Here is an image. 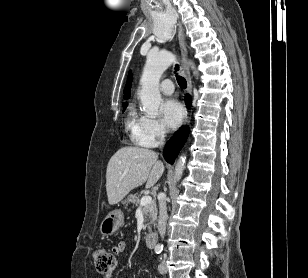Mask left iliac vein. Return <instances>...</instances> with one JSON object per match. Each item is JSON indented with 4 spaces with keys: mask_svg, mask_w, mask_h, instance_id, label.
I'll use <instances>...</instances> for the list:
<instances>
[{
    "mask_svg": "<svg viewBox=\"0 0 308 278\" xmlns=\"http://www.w3.org/2000/svg\"><path fill=\"white\" fill-rule=\"evenodd\" d=\"M158 271H159L161 274H166V273H167L168 269H167L165 260H162L161 263L159 264V266H158Z\"/></svg>",
    "mask_w": 308,
    "mask_h": 278,
    "instance_id": "obj_1",
    "label": "left iliac vein"
}]
</instances>
